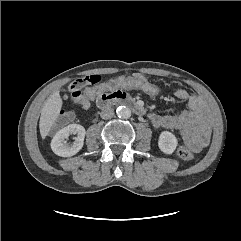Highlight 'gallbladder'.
I'll use <instances>...</instances> for the list:
<instances>
[{
    "label": "gallbladder",
    "instance_id": "bac80fb5",
    "mask_svg": "<svg viewBox=\"0 0 241 241\" xmlns=\"http://www.w3.org/2000/svg\"><path fill=\"white\" fill-rule=\"evenodd\" d=\"M68 98V96L67 95H64V99H67Z\"/></svg>",
    "mask_w": 241,
    "mask_h": 241
}]
</instances>
